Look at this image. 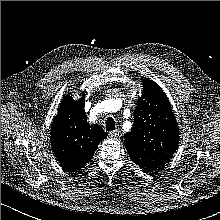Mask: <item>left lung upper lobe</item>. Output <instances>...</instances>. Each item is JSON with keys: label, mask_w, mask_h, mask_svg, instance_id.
I'll use <instances>...</instances> for the list:
<instances>
[{"label": "left lung upper lobe", "mask_w": 220, "mask_h": 220, "mask_svg": "<svg viewBox=\"0 0 220 220\" xmlns=\"http://www.w3.org/2000/svg\"><path fill=\"white\" fill-rule=\"evenodd\" d=\"M124 139L130 158L147 171L161 169L178 147V123L167 96L152 80L143 81L133 127Z\"/></svg>", "instance_id": "1"}]
</instances>
